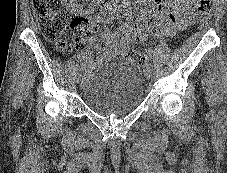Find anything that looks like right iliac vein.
<instances>
[{"label": "right iliac vein", "instance_id": "1", "mask_svg": "<svg viewBox=\"0 0 227 173\" xmlns=\"http://www.w3.org/2000/svg\"><path fill=\"white\" fill-rule=\"evenodd\" d=\"M82 77V73L81 70H79L76 74V82L79 83Z\"/></svg>", "mask_w": 227, "mask_h": 173}]
</instances>
